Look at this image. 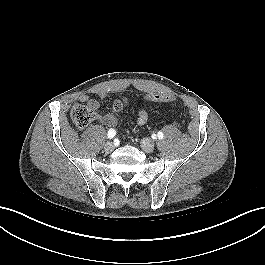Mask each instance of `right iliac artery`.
Returning a JSON list of instances; mask_svg holds the SVG:
<instances>
[{"mask_svg": "<svg viewBox=\"0 0 265 265\" xmlns=\"http://www.w3.org/2000/svg\"><path fill=\"white\" fill-rule=\"evenodd\" d=\"M115 135H116V131L114 129H109L108 134H107L108 138L112 139L115 137Z\"/></svg>", "mask_w": 265, "mask_h": 265, "instance_id": "obj_1", "label": "right iliac artery"}]
</instances>
